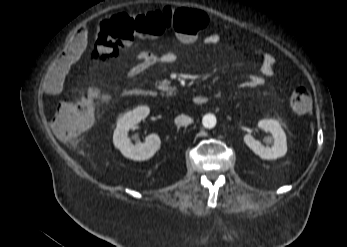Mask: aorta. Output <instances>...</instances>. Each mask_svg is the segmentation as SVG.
Returning <instances> with one entry per match:
<instances>
[{"instance_id":"aorta-1","label":"aorta","mask_w":347,"mask_h":247,"mask_svg":"<svg viewBox=\"0 0 347 247\" xmlns=\"http://www.w3.org/2000/svg\"><path fill=\"white\" fill-rule=\"evenodd\" d=\"M216 117L215 115L209 113L206 114L202 119V124L205 128L211 129L214 128L216 125Z\"/></svg>"}]
</instances>
